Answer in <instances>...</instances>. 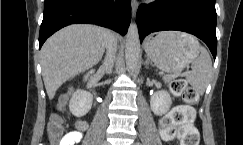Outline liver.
<instances>
[{
    "label": "liver",
    "mask_w": 243,
    "mask_h": 145,
    "mask_svg": "<svg viewBox=\"0 0 243 145\" xmlns=\"http://www.w3.org/2000/svg\"><path fill=\"white\" fill-rule=\"evenodd\" d=\"M112 33L94 25H70L51 36L41 49L44 85L50 100L75 75L96 65Z\"/></svg>",
    "instance_id": "1"
}]
</instances>
